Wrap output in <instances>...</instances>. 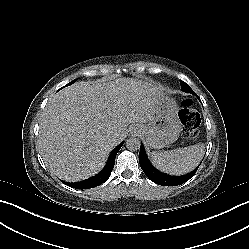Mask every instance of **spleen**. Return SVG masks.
Masks as SVG:
<instances>
[{"instance_id": "3e777b00", "label": "spleen", "mask_w": 249, "mask_h": 249, "mask_svg": "<svg viewBox=\"0 0 249 249\" xmlns=\"http://www.w3.org/2000/svg\"><path fill=\"white\" fill-rule=\"evenodd\" d=\"M205 153V144L199 143L170 151H152V164L160 171L175 174L178 170H192L201 161Z\"/></svg>"}]
</instances>
